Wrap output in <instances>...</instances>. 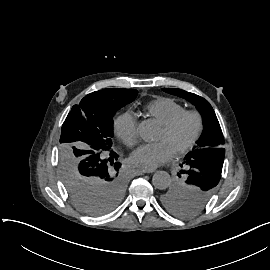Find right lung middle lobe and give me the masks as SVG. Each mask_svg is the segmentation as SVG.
Wrapping results in <instances>:
<instances>
[{"label": "right lung middle lobe", "instance_id": "right-lung-middle-lobe-1", "mask_svg": "<svg viewBox=\"0 0 270 270\" xmlns=\"http://www.w3.org/2000/svg\"><path fill=\"white\" fill-rule=\"evenodd\" d=\"M135 89H104L85 96L66 117L58 143L60 179L73 206L100 216L118 205L127 178L112 150V117L137 96Z\"/></svg>", "mask_w": 270, "mask_h": 270}]
</instances>
